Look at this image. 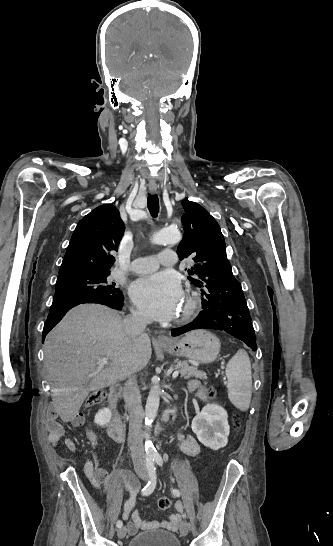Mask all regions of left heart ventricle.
Listing matches in <instances>:
<instances>
[{
  "mask_svg": "<svg viewBox=\"0 0 333 546\" xmlns=\"http://www.w3.org/2000/svg\"><path fill=\"white\" fill-rule=\"evenodd\" d=\"M184 307H185V299H183V302H182V304H181V306H180V309H179L178 314H181V313H182Z\"/></svg>",
  "mask_w": 333,
  "mask_h": 546,
  "instance_id": "obj_1",
  "label": "left heart ventricle"
}]
</instances>
